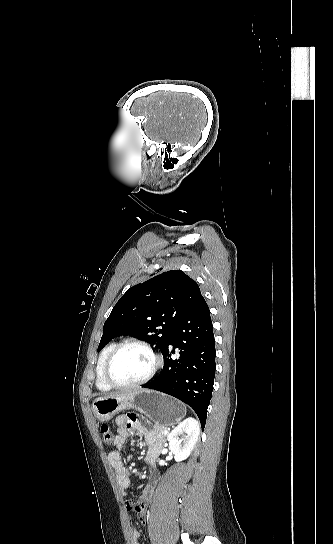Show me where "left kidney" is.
Masks as SVG:
<instances>
[{
	"label": "left kidney",
	"instance_id": "5707ae66",
	"mask_svg": "<svg viewBox=\"0 0 333 544\" xmlns=\"http://www.w3.org/2000/svg\"><path fill=\"white\" fill-rule=\"evenodd\" d=\"M199 436V424L194 418H187L167 437L169 449L179 462L189 457L194 449Z\"/></svg>",
	"mask_w": 333,
	"mask_h": 544
}]
</instances>
